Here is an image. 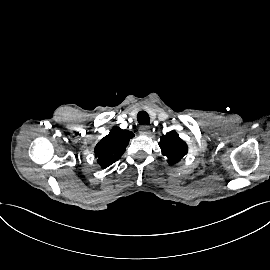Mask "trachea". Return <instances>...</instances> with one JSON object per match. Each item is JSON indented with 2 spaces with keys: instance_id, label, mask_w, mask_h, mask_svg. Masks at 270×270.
Listing matches in <instances>:
<instances>
[{
  "instance_id": "trachea-1",
  "label": "trachea",
  "mask_w": 270,
  "mask_h": 270,
  "mask_svg": "<svg viewBox=\"0 0 270 270\" xmlns=\"http://www.w3.org/2000/svg\"><path fill=\"white\" fill-rule=\"evenodd\" d=\"M137 120L140 125H143V124L148 125L150 123V118L146 111H140L137 114Z\"/></svg>"
}]
</instances>
